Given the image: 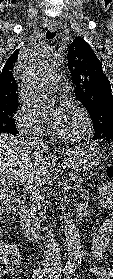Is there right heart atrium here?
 <instances>
[{"instance_id":"right-heart-atrium-1","label":"right heart atrium","mask_w":113,"mask_h":279,"mask_svg":"<svg viewBox=\"0 0 113 279\" xmlns=\"http://www.w3.org/2000/svg\"><path fill=\"white\" fill-rule=\"evenodd\" d=\"M13 119L19 132L29 140L41 138L46 133L44 122L23 101L17 105Z\"/></svg>"}]
</instances>
